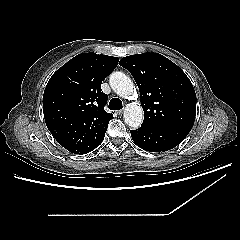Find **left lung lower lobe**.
<instances>
[{
	"label": "left lung lower lobe",
	"instance_id": "0a47b994",
	"mask_svg": "<svg viewBox=\"0 0 240 240\" xmlns=\"http://www.w3.org/2000/svg\"><path fill=\"white\" fill-rule=\"evenodd\" d=\"M189 128H147L131 130L133 141L150 152H164L176 147L188 135Z\"/></svg>",
	"mask_w": 240,
	"mask_h": 240
}]
</instances>
